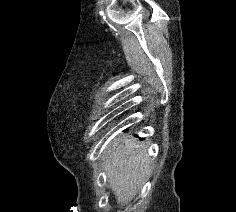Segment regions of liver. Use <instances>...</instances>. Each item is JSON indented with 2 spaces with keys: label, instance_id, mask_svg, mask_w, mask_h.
I'll return each mask as SVG.
<instances>
[{
  "label": "liver",
  "instance_id": "obj_1",
  "mask_svg": "<svg viewBox=\"0 0 236 212\" xmlns=\"http://www.w3.org/2000/svg\"><path fill=\"white\" fill-rule=\"evenodd\" d=\"M105 175L117 202L133 199L149 175V159L144 143L120 135L106 147L103 155Z\"/></svg>",
  "mask_w": 236,
  "mask_h": 212
}]
</instances>
